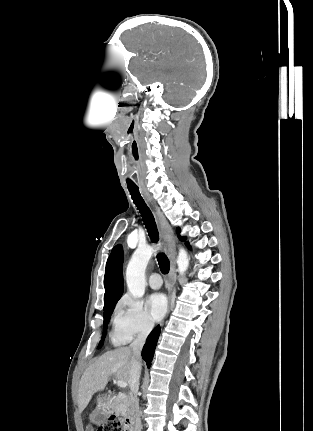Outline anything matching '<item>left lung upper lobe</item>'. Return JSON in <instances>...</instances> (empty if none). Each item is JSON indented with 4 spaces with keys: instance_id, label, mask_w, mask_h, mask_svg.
I'll list each match as a JSON object with an SVG mask.
<instances>
[{
    "instance_id": "obj_1",
    "label": "left lung upper lobe",
    "mask_w": 313,
    "mask_h": 431,
    "mask_svg": "<svg viewBox=\"0 0 313 431\" xmlns=\"http://www.w3.org/2000/svg\"><path fill=\"white\" fill-rule=\"evenodd\" d=\"M177 233H178V237H179V239L181 240V241H185L186 240V238L185 237H183V236H180L179 234H180V228H177ZM187 244V243H186Z\"/></svg>"
}]
</instances>
